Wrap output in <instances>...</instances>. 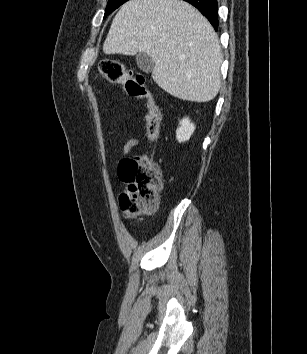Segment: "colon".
<instances>
[{
    "label": "colon",
    "mask_w": 307,
    "mask_h": 354,
    "mask_svg": "<svg viewBox=\"0 0 307 354\" xmlns=\"http://www.w3.org/2000/svg\"><path fill=\"white\" fill-rule=\"evenodd\" d=\"M99 73L111 83L124 85L130 96L146 101L149 108L147 136L155 142L159 138L161 114L146 86L144 76L134 73L121 61L111 57L100 61ZM118 173L120 179L127 184V189L119 197L123 216L134 219L153 212L158 206V195L162 188V171L151 156L138 155L122 160Z\"/></svg>",
    "instance_id": "obj_1"
}]
</instances>
